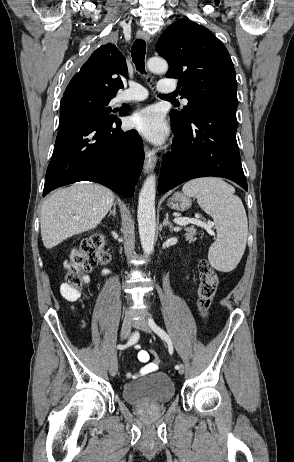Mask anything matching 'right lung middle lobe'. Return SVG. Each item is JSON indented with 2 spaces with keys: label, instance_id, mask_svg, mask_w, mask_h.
<instances>
[{
  "label": "right lung middle lobe",
  "instance_id": "right-lung-middle-lobe-1",
  "mask_svg": "<svg viewBox=\"0 0 294 462\" xmlns=\"http://www.w3.org/2000/svg\"><path fill=\"white\" fill-rule=\"evenodd\" d=\"M114 96H105L93 93H76L62 98L60 103L59 127L68 124L113 121L115 116L111 112L117 109L110 107V101Z\"/></svg>",
  "mask_w": 294,
  "mask_h": 462
}]
</instances>
